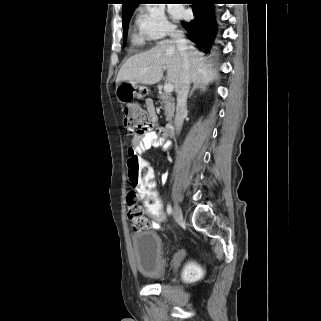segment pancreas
Returning <instances> with one entry per match:
<instances>
[{
  "label": "pancreas",
  "mask_w": 321,
  "mask_h": 321,
  "mask_svg": "<svg viewBox=\"0 0 321 321\" xmlns=\"http://www.w3.org/2000/svg\"><path fill=\"white\" fill-rule=\"evenodd\" d=\"M159 99L161 104L164 105L166 121H171L175 111V104L173 99H171L167 94L159 93Z\"/></svg>",
  "instance_id": "1"
}]
</instances>
